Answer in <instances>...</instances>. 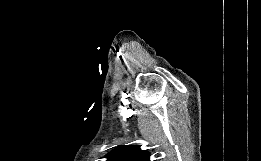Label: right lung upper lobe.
Masks as SVG:
<instances>
[{
	"label": "right lung upper lobe",
	"instance_id": "right-lung-upper-lobe-1",
	"mask_svg": "<svg viewBox=\"0 0 261 161\" xmlns=\"http://www.w3.org/2000/svg\"><path fill=\"white\" fill-rule=\"evenodd\" d=\"M107 161H150L149 152L137 145H121L107 155Z\"/></svg>",
	"mask_w": 261,
	"mask_h": 161
}]
</instances>
